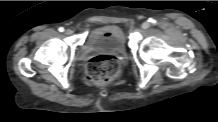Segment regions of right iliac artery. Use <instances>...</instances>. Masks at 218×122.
Here are the masks:
<instances>
[{
    "mask_svg": "<svg viewBox=\"0 0 218 122\" xmlns=\"http://www.w3.org/2000/svg\"><path fill=\"white\" fill-rule=\"evenodd\" d=\"M58 30H59L60 32H63V31H64V28H63V27H60Z\"/></svg>",
    "mask_w": 218,
    "mask_h": 122,
    "instance_id": "82829eb1",
    "label": "right iliac artery"
}]
</instances>
